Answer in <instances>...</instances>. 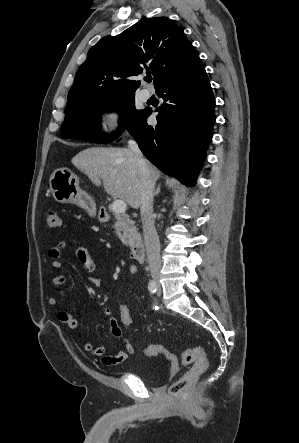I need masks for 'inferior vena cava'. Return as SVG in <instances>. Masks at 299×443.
<instances>
[{
	"label": "inferior vena cava",
	"instance_id": "inferior-vena-cava-1",
	"mask_svg": "<svg viewBox=\"0 0 299 443\" xmlns=\"http://www.w3.org/2000/svg\"><path fill=\"white\" fill-rule=\"evenodd\" d=\"M128 147L133 152L140 176V210L143 225L144 243L151 274L157 276L161 269L160 242L155 230L153 219V198L155 181L151 176L146 160L134 140L128 141Z\"/></svg>",
	"mask_w": 299,
	"mask_h": 443
}]
</instances>
